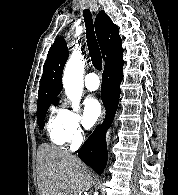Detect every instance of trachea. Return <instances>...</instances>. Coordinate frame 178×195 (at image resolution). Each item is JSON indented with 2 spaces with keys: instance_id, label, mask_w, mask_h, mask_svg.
<instances>
[{
  "instance_id": "obj_1",
  "label": "trachea",
  "mask_w": 178,
  "mask_h": 195,
  "mask_svg": "<svg viewBox=\"0 0 178 195\" xmlns=\"http://www.w3.org/2000/svg\"><path fill=\"white\" fill-rule=\"evenodd\" d=\"M83 16L86 25V37H87V46L89 50V55L91 57V61L93 66L97 70L102 69V56L100 52V48L94 33L93 23H92V16L88 9L83 11Z\"/></svg>"
}]
</instances>
